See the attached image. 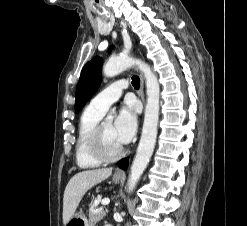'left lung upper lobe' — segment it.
Listing matches in <instances>:
<instances>
[{"instance_id":"obj_1","label":"left lung upper lobe","mask_w":247,"mask_h":226,"mask_svg":"<svg viewBox=\"0 0 247 226\" xmlns=\"http://www.w3.org/2000/svg\"><path fill=\"white\" fill-rule=\"evenodd\" d=\"M102 63V57L96 56L83 67L76 88V113L80 111L85 103L97 91L101 83Z\"/></svg>"}]
</instances>
